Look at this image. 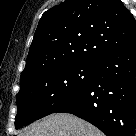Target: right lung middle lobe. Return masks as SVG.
Wrapping results in <instances>:
<instances>
[{"label": "right lung middle lobe", "mask_w": 136, "mask_h": 136, "mask_svg": "<svg viewBox=\"0 0 136 136\" xmlns=\"http://www.w3.org/2000/svg\"><path fill=\"white\" fill-rule=\"evenodd\" d=\"M97 64H65L41 70L20 82L15 127L19 129L52 114L92 81Z\"/></svg>", "instance_id": "right-lung-middle-lobe-1"}]
</instances>
